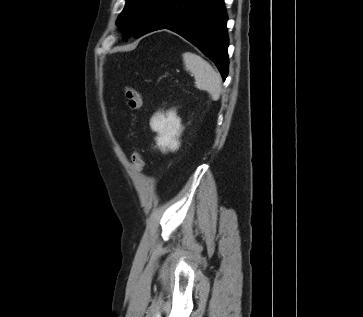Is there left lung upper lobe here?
<instances>
[{
    "instance_id": "1",
    "label": "left lung upper lobe",
    "mask_w": 363,
    "mask_h": 317,
    "mask_svg": "<svg viewBox=\"0 0 363 317\" xmlns=\"http://www.w3.org/2000/svg\"><path fill=\"white\" fill-rule=\"evenodd\" d=\"M159 0H127L116 24L126 37L142 35L146 30Z\"/></svg>"
}]
</instances>
